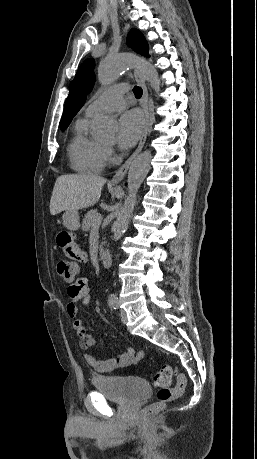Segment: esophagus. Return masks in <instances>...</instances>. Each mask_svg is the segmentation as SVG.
Here are the masks:
<instances>
[{"label": "esophagus", "mask_w": 257, "mask_h": 459, "mask_svg": "<svg viewBox=\"0 0 257 459\" xmlns=\"http://www.w3.org/2000/svg\"><path fill=\"white\" fill-rule=\"evenodd\" d=\"M134 76L138 84L141 86L143 90V95L141 99V106L144 111L145 115V124H144V129L142 136L140 138V142L136 148V150L133 152V154L125 161V163L118 169V171L115 173L113 178L110 181L111 185L117 186L119 183L125 178L128 169L132 163V161L135 159V157L139 154V152L142 150L144 143L147 138L148 130H149V125H150V117H149V107H148V90L147 86L145 83V80L141 74V72L137 69L134 70Z\"/></svg>", "instance_id": "obj_1"}]
</instances>
